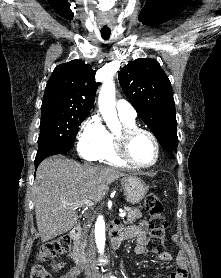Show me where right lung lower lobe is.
I'll return each mask as SVG.
<instances>
[{"label":"right lung lower lobe","mask_w":221,"mask_h":278,"mask_svg":"<svg viewBox=\"0 0 221 278\" xmlns=\"http://www.w3.org/2000/svg\"><path fill=\"white\" fill-rule=\"evenodd\" d=\"M73 145L67 144V145H62L58 147H54L51 149H48L40 154L36 155L35 158V169H37L38 165L41 163L42 160H44L46 157L56 155V154H63L67 152L68 150L71 149Z\"/></svg>","instance_id":"98d812e1"}]
</instances>
